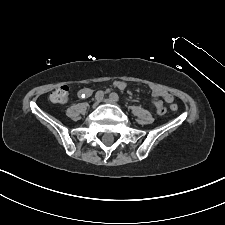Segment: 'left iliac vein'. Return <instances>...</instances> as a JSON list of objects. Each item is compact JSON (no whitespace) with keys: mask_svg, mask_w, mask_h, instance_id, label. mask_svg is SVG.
I'll use <instances>...</instances> for the list:
<instances>
[{"mask_svg":"<svg viewBox=\"0 0 225 225\" xmlns=\"http://www.w3.org/2000/svg\"><path fill=\"white\" fill-rule=\"evenodd\" d=\"M104 102H106V103H108V104H114V105L117 104V102H116L115 100L111 99V98L105 99Z\"/></svg>","mask_w":225,"mask_h":225,"instance_id":"1","label":"left iliac vein"}]
</instances>
